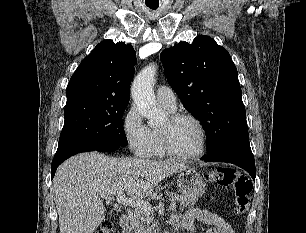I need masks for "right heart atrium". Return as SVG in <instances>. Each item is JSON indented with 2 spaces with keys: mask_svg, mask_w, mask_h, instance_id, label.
I'll return each mask as SVG.
<instances>
[{
  "mask_svg": "<svg viewBox=\"0 0 306 233\" xmlns=\"http://www.w3.org/2000/svg\"><path fill=\"white\" fill-rule=\"evenodd\" d=\"M122 130L130 150L139 157H150L154 151L153 131L136 107H131L123 119Z\"/></svg>",
  "mask_w": 306,
  "mask_h": 233,
  "instance_id": "1",
  "label": "right heart atrium"
}]
</instances>
